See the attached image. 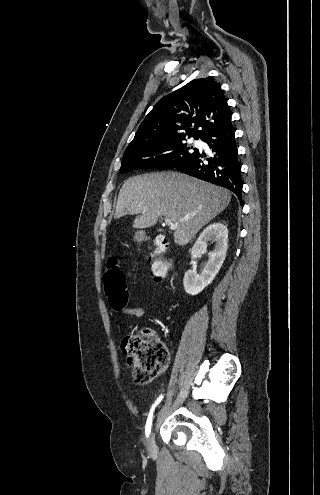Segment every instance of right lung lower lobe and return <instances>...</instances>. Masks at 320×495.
Returning a JSON list of instances; mask_svg holds the SVG:
<instances>
[{
  "label": "right lung lower lobe",
  "mask_w": 320,
  "mask_h": 495,
  "mask_svg": "<svg viewBox=\"0 0 320 495\" xmlns=\"http://www.w3.org/2000/svg\"><path fill=\"white\" fill-rule=\"evenodd\" d=\"M201 139L209 145L212 155L205 158L206 154L197 150L189 159L174 168L223 186L234 192L241 201V167L231 118L206 132Z\"/></svg>",
  "instance_id": "98d812e1"
}]
</instances>
